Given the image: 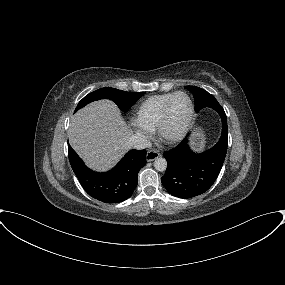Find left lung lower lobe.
I'll return each mask as SVG.
<instances>
[{
    "label": "left lung lower lobe",
    "mask_w": 285,
    "mask_h": 285,
    "mask_svg": "<svg viewBox=\"0 0 285 285\" xmlns=\"http://www.w3.org/2000/svg\"><path fill=\"white\" fill-rule=\"evenodd\" d=\"M210 108L217 111L222 120L221 138L214 147L203 153H194L186 138L164 152L168 167L161 182L175 197L188 199L206 192L222 168L228 146L227 117L220 104Z\"/></svg>",
    "instance_id": "1"
}]
</instances>
